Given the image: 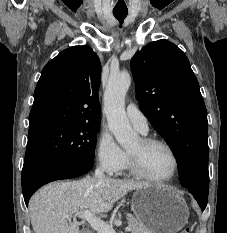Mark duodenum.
<instances>
[{
  "label": "duodenum",
  "mask_w": 227,
  "mask_h": 233,
  "mask_svg": "<svg viewBox=\"0 0 227 233\" xmlns=\"http://www.w3.org/2000/svg\"><path fill=\"white\" fill-rule=\"evenodd\" d=\"M83 233H91L90 231H84Z\"/></svg>",
  "instance_id": "1"
}]
</instances>
